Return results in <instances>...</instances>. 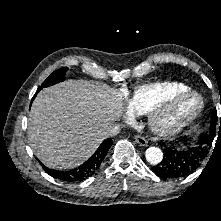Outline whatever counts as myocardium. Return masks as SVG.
Wrapping results in <instances>:
<instances>
[{"label": "myocardium", "instance_id": "obj_1", "mask_svg": "<svg viewBox=\"0 0 221 221\" xmlns=\"http://www.w3.org/2000/svg\"><path fill=\"white\" fill-rule=\"evenodd\" d=\"M195 100L196 104L187 110L182 117L171 120V114L185 103ZM204 107L201 95L186 92L167 97L159 101L148 113V125L151 131L161 137H172L187 128L200 115Z\"/></svg>", "mask_w": 221, "mask_h": 221}]
</instances>
